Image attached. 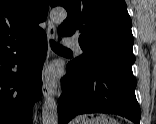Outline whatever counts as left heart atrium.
Masks as SVG:
<instances>
[{"mask_svg": "<svg viewBox=\"0 0 156 124\" xmlns=\"http://www.w3.org/2000/svg\"><path fill=\"white\" fill-rule=\"evenodd\" d=\"M57 77H58V72L55 67L48 68L44 73L45 80L51 85H55L57 81Z\"/></svg>", "mask_w": 156, "mask_h": 124, "instance_id": "39dd6f15", "label": "left heart atrium"}]
</instances>
